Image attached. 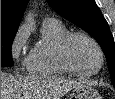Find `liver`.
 Wrapping results in <instances>:
<instances>
[{
  "instance_id": "6515ba94",
  "label": "liver",
  "mask_w": 115,
  "mask_h": 99,
  "mask_svg": "<svg viewBox=\"0 0 115 99\" xmlns=\"http://www.w3.org/2000/svg\"><path fill=\"white\" fill-rule=\"evenodd\" d=\"M80 85L62 76H11L1 72V99H60Z\"/></svg>"
}]
</instances>
